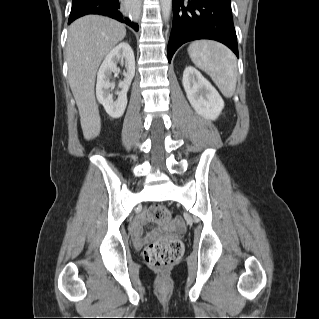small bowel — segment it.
<instances>
[{"instance_id":"obj_1","label":"small bowel","mask_w":319,"mask_h":319,"mask_svg":"<svg viewBox=\"0 0 319 319\" xmlns=\"http://www.w3.org/2000/svg\"><path fill=\"white\" fill-rule=\"evenodd\" d=\"M147 222L145 217H140L136 219L130 226L131 234L134 238L139 239L142 234L143 225ZM169 230L182 232L184 230L182 220L179 217L174 218L170 225L168 226ZM160 231V226L156 225V228L153 233H151L147 239L153 238Z\"/></svg>"}]
</instances>
